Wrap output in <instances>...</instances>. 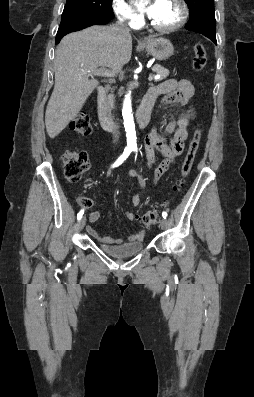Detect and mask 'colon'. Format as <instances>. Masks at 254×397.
I'll return each mask as SVG.
<instances>
[{"label":"colon","instance_id":"1","mask_svg":"<svg viewBox=\"0 0 254 397\" xmlns=\"http://www.w3.org/2000/svg\"><path fill=\"white\" fill-rule=\"evenodd\" d=\"M194 58L193 68L196 71H201L206 64V52L204 46L201 43H195L193 46ZM70 129L73 133L79 136H87L92 131L91 121L87 114L81 113L77 115L70 123ZM202 137L201 129L195 131L181 167V177L178 179L175 190H178L185 182L192 165L194 163L196 154L198 152L200 141ZM62 162L64 168L65 178L71 182H78L83 173L89 167L88 155L84 150L72 149L67 150L62 155ZM81 203L88 204L86 199H82ZM139 220L142 224L149 226L156 224L159 220V214L156 210H149L139 216Z\"/></svg>","mask_w":254,"mask_h":397}]
</instances>
